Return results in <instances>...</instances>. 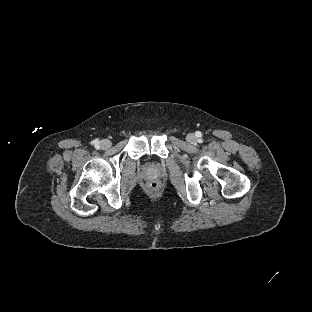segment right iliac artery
<instances>
[{
	"mask_svg": "<svg viewBox=\"0 0 312 312\" xmlns=\"http://www.w3.org/2000/svg\"><path fill=\"white\" fill-rule=\"evenodd\" d=\"M92 143H93L96 147L99 146V140H98V139L93 140Z\"/></svg>",
	"mask_w": 312,
	"mask_h": 312,
	"instance_id": "1",
	"label": "right iliac artery"
}]
</instances>
